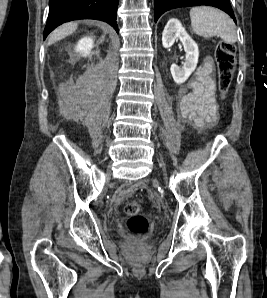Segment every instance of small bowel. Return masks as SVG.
Here are the masks:
<instances>
[{
    "instance_id": "c3829d8e",
    "label": "small bowel",
    "mask_w": 267,
    "mask_h": 298,
    "mask_svg": "<svg viewBox=\"0 0 267 298\" xmlns=\"http://www.w3.org/2000/svg\"><path fill=\"white\" fill-rule=\"evenodd\" d=\"M214 65L210 58L197 68L180 97L181 117L199 130L211 128L218 120L215 99Z\"/></svg>"
}]
</instances>
